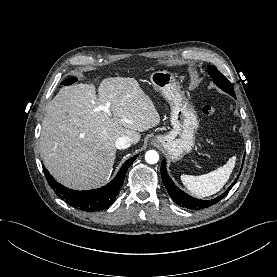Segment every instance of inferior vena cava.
I'll return each mask as SVG.
<instances>
[{
  "instance_id": "1",
  "label": "inferior vena cava",
  "mask_w": 277,
  "mask_h": 277,
  "mask_svg": "<svg viewBox=\"0 0 277 277\" xmlns=\"http://www.w3.org/2000/svg\"><path fill=\"white\" fill-rule=\"evenodd\" d=\"M131 143V138L129 136L123 135L117 139L115 147L117 149H127L131 146Z\"/></svg>"
}]
</instances>
